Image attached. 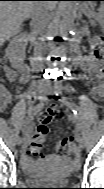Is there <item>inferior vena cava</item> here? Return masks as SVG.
Instances as JSON below:
<instances>
[{
	"instance_id": "1",
	"label": "inferior vena cava",
	"mask_w": 104,
	"mask_h": 189,
	"mask_svg": "<svg viewBox=\"0 0 104 189\" xmlns=\"http://www.w3.org/2000/svg\"><path fill=\"white\" fill-rule=\"evenodd\" d=\"M43 3V2H40ZM48 7L46 5H42L36 9H34L31 13V26H32V34L37 35L43 31L45 28L46 20L48 18L47 15ZM42 46L41 44H37L35 47V55L39 61V76L38 83H40L39 88H50L51 82H49L48 70H47V62H42L41 58Z\"/></svg>"
}]
</instances>
